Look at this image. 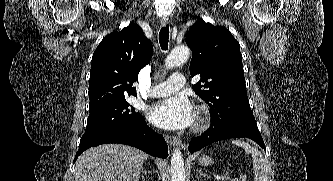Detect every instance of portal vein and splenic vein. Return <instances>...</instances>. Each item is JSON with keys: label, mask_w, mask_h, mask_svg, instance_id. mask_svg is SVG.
I'll return each mask as SVG.
<instances>
[{"label": "portal vein and splenic vein", "mask_w": 333, "mask_h": 181, "mask_svg": "<svg viewBox=\"0 0 333 181\" xmlns=\"http://www.w3.org/2000/svg\"><path fill=\"white\" fill-rule=\"evenodd\" d=\"M219 179L222 180V181H225V180L228 179V177L224 175V176L219 177Z\"/></svg>", "instance_id": "obj_1"}]
</instances>
